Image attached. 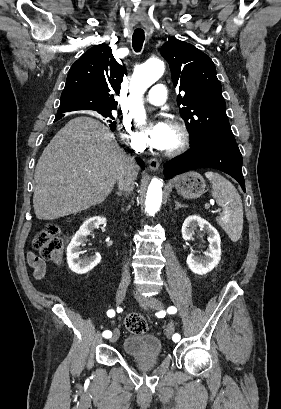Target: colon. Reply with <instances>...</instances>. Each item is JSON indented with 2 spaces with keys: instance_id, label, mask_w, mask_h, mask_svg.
I'll return each instance as SVG.
<instances>
[{
  "instance_id": "colon-1",
  "label": "colon",
  "mask_w": 281,
  "mask_h": 409,
  "mask_svg": "<svg viewBox=\"0 0 281 409\" xmlns=\"http://www.w3.org/2000/svg\"><path fill=\"white\" fill-rule=\"evenodd\" d=\"M60 227L55 224H47L36 234L34 248L39 249V255H45V260L60 262L63 252V240L60 237ZM42 277V276H37ZM124 325L134 333H143L148 328V323L139 312H133L125 316Z\"/></svg>"
}]
</instances>
